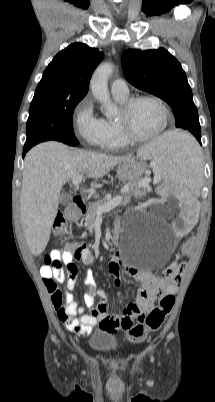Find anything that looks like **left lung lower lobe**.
I'll list each match as a JSON object with an SVG mask.
<instances>
[{
    "label": "left lung lower lobe",
    "mask_w": 215,
    "mask_h": 402,
    "mask_svg": "<svg viewBox=\"0 0 215 402\" xmlns=\"http://www.w3.org/2000/svg\"><path fill=\"white\" fill-rule=\"evenodd\" d=\"M197 140L201 143V138H197Z\"/></svg>",
    "instance_id": "0a47b994"
}]
</instances>
